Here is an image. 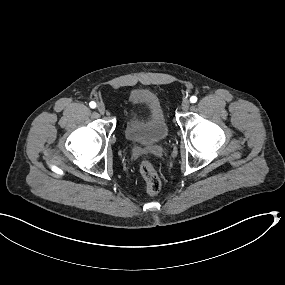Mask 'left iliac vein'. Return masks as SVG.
Masks as SVG:
<instances>
[{"mask_svg": "<svg viewBox=\"0 0 285 285\" xmlns=\"http://www.w3.org/2000/svg\"><path fill=\"white\" fill-rule=\"evenodd\" d=\"M190 107V102L189 100L185 99L182 101V104H181V108L184 110V111H187Z\"/></svg>", "mask_w": 285, "mask_h": 285, "instance_id": "1", "label": "left iliac vein"}]
</instances>
